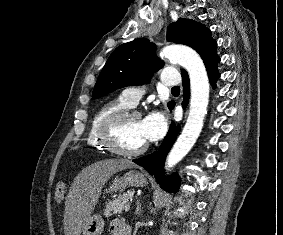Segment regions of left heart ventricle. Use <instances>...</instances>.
<instances>
[{"mask_svg":"<svg viewBox=\"0 0 283 235\" xmlns=\"http://www.w3.org/2000/svg\"><path fill=\"white\" fill-rule=\"evenodd\" d=\"M115 140L125 150H135L145 144L147 141L142 134L141 119L133 117L121 123L116 130Z\"/></svg>","mask_w":283,"mask_h":235,"instance_id":"left-heart-ventricle-1","label":"left heart ventricle"}]
</instances>
